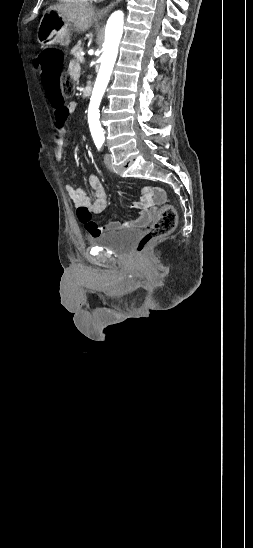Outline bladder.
I'll list each match as a JSON object with an SVG mask.
<instances>
[{"label":"bladder","mask_w":253,"mask_h":548,"mask_svg":"<svg viewBox=\"0 0 253 548\" xmlns=\"http://www.w3.org/2000/svg\"><path fill=\"white\" fill-rule=\"evenodd\" d=\"M141 235L139 229L109 231L89 238V243L110 250L115 254H126Z\"/></svg>","instance_id":"bladder-1"}]
</instances>
